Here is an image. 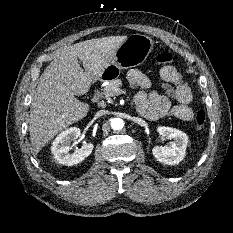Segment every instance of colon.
I'll return each mask as SVG.
<instances>
[{
	"label": "colon",
	"instance_id": "obj_1",
	"mask_svg": "<svg viewBox=\"0 0 233 233\" xmlns=\"http://www.w3.org/2000/svg\"><path fill=\"white\" fill-rule=\"evenodd\" d=\"M172 55L168 52L160 53L156 57L157 63L160 65V77L165 85H175L180 80L178 70L172 65ZM171 96H175L174 90H168ZM195 125L197 129H202L206 124V113L201 110L195 114Z\"/></svg>",
	"mask_w": 233,
	"mask_h": 233
}]
</instances>
